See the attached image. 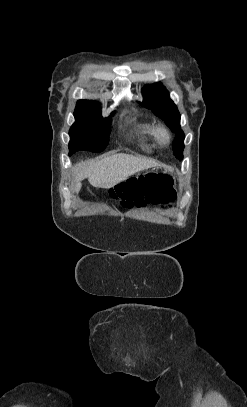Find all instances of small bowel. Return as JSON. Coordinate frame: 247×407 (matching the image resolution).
Returning a JSON list of instances; mask_svg holds the SVG:
<instances>
[{"label":"small bowel","mask_w":247,"mask_h":407,"mask_svg":"<svg viewBox=\"0 0 247 407\" xmlns=\"http://www.w3.org/2000/svg\"><path fill=\"white\" fill-rule=\"evenodd\" d=\"M154 204H161V205H164V204H166V203H154Z\"/></svg>","instance_id":"c3829d8e"}]
</instances>
